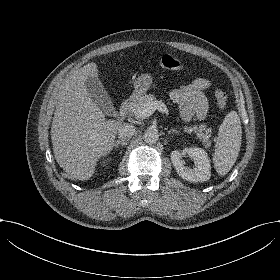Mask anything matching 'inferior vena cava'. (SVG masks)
I'll return each mask as SVG.
<instances>
[{
	"label": "inferior vena cava",
	"mask_w": 280,
	"mask_h": 280,
	"mask_svg": "<svg viewBox=\"0 0 280 280\" xmlns=\"http://www.w3.org/2000/svg\"><path fill=\"white\" fill-rule=\"evenodd\" d=\"M135 134V127L129 123H124L118 128V137L122 141H126Z\"/></svg>",
	"instance_id": "1"
}]
</instances>
